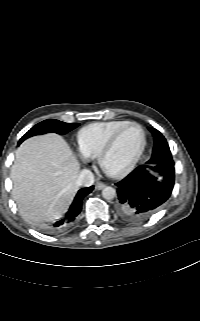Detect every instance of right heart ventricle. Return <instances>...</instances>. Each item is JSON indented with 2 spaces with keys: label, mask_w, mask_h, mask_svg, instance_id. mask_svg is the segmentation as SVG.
Wrapping results in <instances>:
<instances>
[{
  "label": "right heart ventricle",
  "mask_w": 200,
  "mask_h": 321,
  "mask_svg": "<svg viewBox=\"0 0 200 321\" xmlns=\"http://www.w3.org/2000/svg\"><path fill=\"white\" fill-rule=\"evenodd\" d=\"M128 120H111L91 123L77 133L79 151L87 158H96L112 134L129 123Z\"/></svg>",
  "instance_id": "obj_1"
}]
</instances>
